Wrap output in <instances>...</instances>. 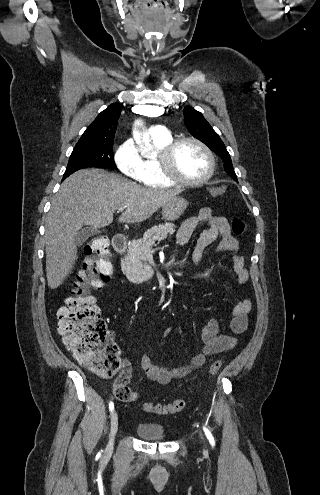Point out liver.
<instances>
[{"instance_id":"6515ba94","label":"liver","mask_w":320,"mask_h":495,"mask_svg":"<svg viewBox=\"0 0 320 495\" xmlns=\"http://www.w3.org/2000/svg\"><path fill=\"white\" fill-rule=\"evenodd\" d=\"M181 190L147 189L116 174L98 169L69 176L52 201L46 218V276L51 289L71 273L77 259L75 236L83 225L108 226L121 207L120 222L140 223L171 201Z\"/></svg>"}]
</instances>
